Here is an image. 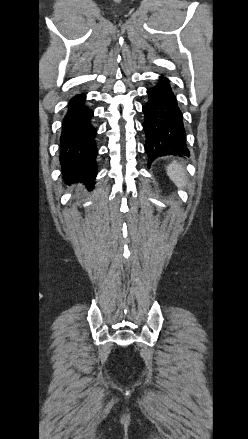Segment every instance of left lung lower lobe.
Listing matches in <instances>:
<instances>
[{
  "mask_svg": "<svg viewBox=\"0 0 248 439\" xmlns=\"http://www.w3.org/2000/svg\"><path fill=\"white\" fill-rule=\"evenodd\" d=\"M148 101L143 106L146 134L145 152L151 162L166 155H188L182 113L169 80L160 77L159 82L147 90Z\"/></svg>",
  "mask_w": 248,
  "mask_h": 439,
  "instance_id": "left-lung-lower-lobe-1",
  "label": "left lung lower lobe"
}]
</instances>
